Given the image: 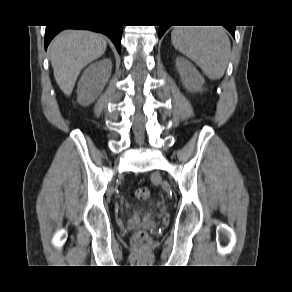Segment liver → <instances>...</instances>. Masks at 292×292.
Segmentation results:
<instances>
[{"instance_id":"6515ba94","label":"liver","mask_w":292,"mask_h":292,"mask_svg":"<svg viewBox=\"0 0 292 292\" xmlns=\"http://www.w3.org/2000/svg\"><path fill=\"white\" fill-rule=\"evenodd\" d=\"M106 39L86 30H64L50 44L54 77L60 89L70 96L81 70L104 54Z\"/></svg>"}]
</instances>
